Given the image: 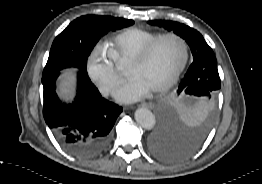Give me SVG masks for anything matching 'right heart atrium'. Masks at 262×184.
I'll list each match as a JSON object with an SVG mask.
<instances>
[{
  "label": "right heart atrium",
  "mask_w": 262,
  "mask_h": 184,
  "mask_svg": "<svg viewBox=\"0 0 262 184\" xmlns=\"http://www.w3.org/2000/svg\"><path fill=\"white\" fill-rule=\"evenodd\" d=\"M87 73L104 95H110L121 80L116 61L103 46H96L88 56Z\"/></svg>",
  "instance_id": "obj_1"
}]
</instances>
